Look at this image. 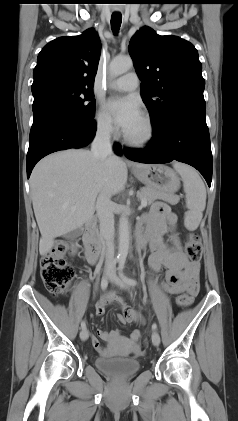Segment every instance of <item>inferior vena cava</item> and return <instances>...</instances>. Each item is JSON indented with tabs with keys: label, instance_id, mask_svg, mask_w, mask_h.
Segmentation results:
<instances>
[{
	"label": "inferior vena cava",
	"instance_id": "obj_1",
	"mask_svg": "<svg viewBox=\"0 0 238 421\" xmlns=\"http://www.w3.org/2000/svg\"><path fill=\"white\" fill-rule=\"evenodd\" d=\"M111 128L109 125L100 126L91 145L95 159H105L112 154L110 142ZM108 192L99 194L96 202V212L100 223V234L105 240V261L107 265L114 263V215L112 202Z\"/></svg>",
	"mask_w": 238,
	"mask_h": 421
}]
</instances>
